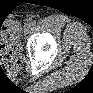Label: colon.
<instances>
[{
  "instance_id": "obj_1",
  "label": "colon",
  "mask_w": 93,
  "mask_h": 93,
  "mask_svg": "<svg viewBox=\"0 0 93 93\" xmlns=\"http://www.w3.org/2000/svg\"><path fill=\"white\" fill-rule=\"evenodd\" d=\"M0 52L3 62L14 58V32L13 28L6 25L1 27Z\"/></svg>"
}]
</instances>
